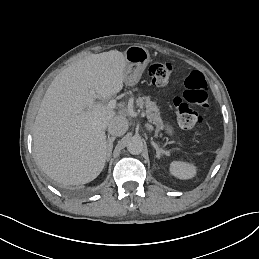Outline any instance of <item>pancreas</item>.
<instances>
[{"mask_svg":"<svg viewBox=\"0 0 259 259\" xmlns=\"http://www.w3.org/2000/svg\"><path fill=\"white\" fill-rule=\"evenodd\" d=\"M137 105L140 107L146 106L145 114L150 123L157 124V130L161 128L160 126V117L157 115L158 109L156 104L151 102L148 98H139L136 101Z\"/></svg>","mask_w":259,"mask_h":259,"instance_id":"cf45deb5","label":"pancreas"}]
</instances>
